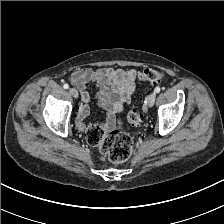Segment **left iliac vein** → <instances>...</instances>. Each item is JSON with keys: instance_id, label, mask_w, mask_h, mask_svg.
Masks as SVG:
<instances>
[{"instance_id": "1", "label": "left iliac vein", "mask_w": 224, "mask_h": 224, "mask_svg": "<svg viewBox=\"0 0 224 224\" xmlns=\"http://www.w3.org/2000/svg\"><path fill=\"white\" fill-rule=\"evenodd\" d=\"M156 99V93L152 92L148 97H147V106L152 107L155 103Z\"/></svg>"}]
</instances>
